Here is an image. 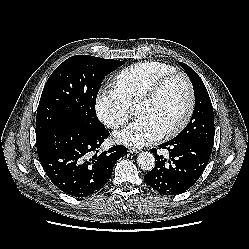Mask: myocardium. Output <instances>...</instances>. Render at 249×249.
Here are the masks:
<instances>
[{
  "label": "myocardium",
  "mask_w": 249,
  "mask_h": 249,
  "mask_svg": "<svg viewBox=\"0 0 249 249\" xmlns=\"http://www.w3.org/2000/svg\"><path fill=\"white\" fill-rule=\"evenodd\" d=\"M179 77L183 80L188 94V103L186 111L182 117V119L171 129L164 132V136L166 137H174L178 135L180 132L184 130V128L188 125L190 122L192 115L194 113L195 109V91L193 84L189 78V76L181 71H173L170 73H167L161 77H159L156 81H154L151 86L145 91V93L140 97V99L137 102L138 104L142 103H148L154 100L163 86L170 81L171 79Z\"/></svg>",
  "instance_id": "1"
}]
</instances>
